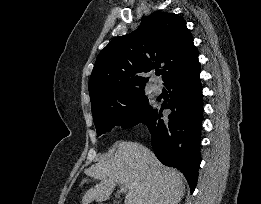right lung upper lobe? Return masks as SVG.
Returning <instances> with one entry per match:
<instances>
[{
  "instance_id": "obj_1",
  "label": "right lung upper lobe",
  "mask_w": 261,
  "mask_h": 204,
  "mask_svg": "<svg viewBox=\"0 0 261 204\" xmlns=\"http://www.w3.org/2000/svg\"><path fill=\"white\" fill-rule=\"evenodd\" d=\"M198 59L186 22L174 13L155 12L138 29L111 41L98 55L89 80L91 106L143 90L144 75L162 68L165 83Z\"/></svg>"
}]
</instances>
